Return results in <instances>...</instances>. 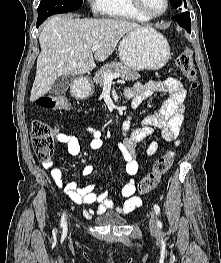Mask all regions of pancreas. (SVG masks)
<instances>
[{
	"mask_svg": "<svg viewBox=\"0 0 221 263\" xmlns=\"http://www.w3.org/2000/svg\"><path fill=\"white\" fill-rule=\"evenodd\" d=\"M107 73H119L120 77L127 81H136L140 74L119 62H112L102 66L95 74L94 81L102 86L105 83Z\"/></svg>",
	"mask_w": 221,
	"mask_h": 263,
	"instance_id": "pancreas-1",
	"label": "pancreas"
}]
</instances>
